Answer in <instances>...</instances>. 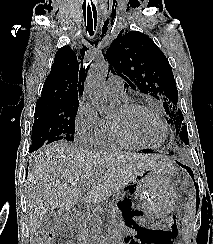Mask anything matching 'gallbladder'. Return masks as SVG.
Returning a JSON list of instances; mask_svg holds the SVG:
<instances>
[{"mask_svg": "<svg viewBox=\"0 0 213 244\" xmlns=\"http://www.w3.org/2000/svg\"><path fill=\"white\" fill-rule=\"evenodd\" d=\"M66 222L65 214L58 213L57 211H49L43 217L39 228L40 233L60 234L64 230Z\"/></svg>", "mask_w": 213, "mask_h": 244, "instance_id": "gallbladder-1", "label": "gallbladder"}]
</instances>
